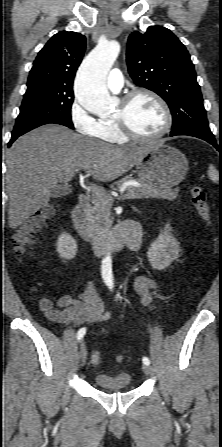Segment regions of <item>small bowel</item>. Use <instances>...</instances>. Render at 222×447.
I'll use <instances>...</instances> for the list:
<instances>
[{"mask_svg": "<svg viewBox=\"0 0 222 447\" xmlns=\"http://www.w3.org/2000/svg\"><path fill=\"white\" fill-rule=\"evenodd\" d=\"M134 288L143 305H150L151 291L159 289V284L152 278L141 275L135 279ZM54 302L46 297L39 300V307L46 317L56 323L80 325L82 323H102L111 318V313L104 310L93 283H89L77 298L62 295Z\"/></svg>", "mask_w": 222, "mask_h": 447, "instance_id": "1", "label": "small bowel"}]
</instances>
